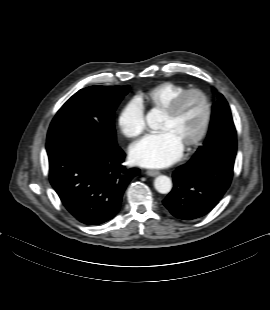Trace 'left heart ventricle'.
<instances>
[{
	"mask_svg": "<svg viewBox=\"0 0 270 310\" xmlns=\"http://www.w3.org/2000/svg\"><path fill=\"white\" fill-rule=\"evenodd\" d=\"M204 114L205 109L201 98L197 95H189L183 100L178 114L173 119H167L162 115L158 131L169 133L184 149L199 133Z\"/></svg>",
	"mask_w": 270,
	"mask_h": 310,
	"instance_id": "b2bd125f",
	"label": "left heart ventricle"
}]
</instances>
